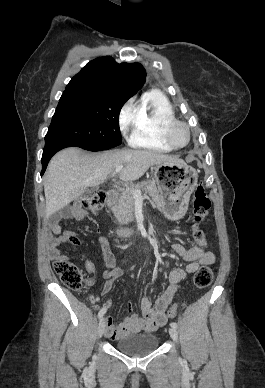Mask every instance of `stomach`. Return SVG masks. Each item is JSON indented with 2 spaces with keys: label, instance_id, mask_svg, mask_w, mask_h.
Segmentation results:
<instances>
[{
  "label": "stomach",
  "instance_id": "obj_1",
  "mask_svg": "<svg viewBox=\"0 0 265 388\" xmlns=\"http://www.w3.org/2000/svg\"><path fill=\"white\" fill-rule=\"evenodd\" d=\"M197 179L195 169L186 163L156 164L154 180L163 194L165 204L162 210L168 217L178 219L185 215Z\"/></svg>",
  "mask_w": 265,
  "mask_h": 388
}]
</instances>
